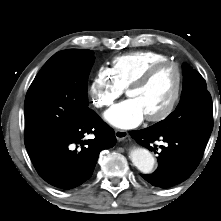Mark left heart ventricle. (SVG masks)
Returning <instances> with one entry per match:
<instances>
[{
    "label": "left heart ventricle",
    "mask_w": 221,
    "mask_h": 221,
    "mask_svg": "<svg viewBox=\"0 0 221 221\" xmlns=\"http://www.w3.org/2000/svg\"><path fill=\"white\" fill-rule=\"evenodd\" d=\"M176 80L177 76L174 68L165 67L146 86L132 89L127 95L139 102L145 117L155 115L169 104L175 91Z\"/></svg>",
    "instance_id": "obj_1"
}]
</instances>
